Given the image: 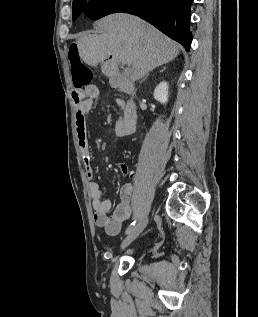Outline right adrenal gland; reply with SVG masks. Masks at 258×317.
Returning a JSON list of instances; mask_svg holds the SVG:
<instances>
[{
    "label": "right adrenal gland",
    "mask_w": 258,
    "mask_h": 317,
    "mask_svg": "<svg viewBox=\"0 0 258 317\" xmlns=\"http://www.w3.org/2000/svg\"><path fill=\"white\" fill-rule=\"evenodd\" d=\"M152 70H153V68H152ZM160 72H162V70H160ZM146 76H148V72H147ZM146 76H144V78H146ZM140 82H142V80H140Z\"/></svg>",
    "instance_id": "obj_1"
}]
</instances>
